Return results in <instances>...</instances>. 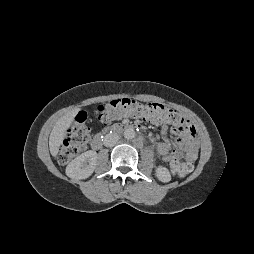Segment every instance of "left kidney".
I'll list each match as a JSON object with an SVG mask.
<instances>
[{"label": "left kidney", "mask_w": 254, "mask_h": 254, "mask_svg": "<svg viewBox=\"0 0 254 254\" xmlns=\"http://www.w3.org/2000/svg\"><path fill=\"white\" fill-rule=\"evenodd\" d=\"M156 176L162 182H169L171 180V175L169 170L164 166H158L156 169Z\"/></svg>", "instance_id": "obj_1"}]
</instances>
